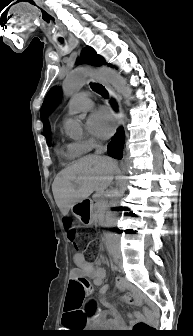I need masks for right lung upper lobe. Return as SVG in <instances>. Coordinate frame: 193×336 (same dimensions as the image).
Here are the masks:
<instances>
[{"mask_svg": "<svg viewBox=\"0 0 193 336\" xmlns=\"http://www.w3.org/2000/svg\"><path fill=\"white\" fill-rule=\"evenodd\" d=\"M43 130H44V134H45V137L47 138V140L49 139V125H48V122L47 121H44V127H43Z\"/></svg>", "mask_w": 193, "mask_h": 336, "instance_id": "right-lung-upper-lobe-1", "label": "right lung upper lobe"}]
</instances>
